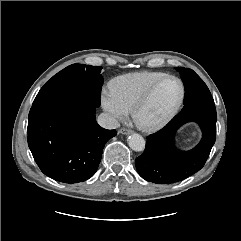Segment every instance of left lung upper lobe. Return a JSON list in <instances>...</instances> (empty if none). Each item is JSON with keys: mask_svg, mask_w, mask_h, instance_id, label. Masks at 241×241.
<instances>
[{"mask_svg": "<svg viewBox=\"0 0 241 241\" xmlns=\"http://www.w3.org/2000/svg\"><path fill=\"white\" fill-rule=\"evenodd\" d=\"M176 70L180 72L185 87L183 109L202 103L214 104L208 87L193 70L183 67H178Z\"/></svg>", "mask_w": 241, "mask_h": 241, "instance_id": "5c2ea615", "label": "left lung upper lobe"}]
</instances>
